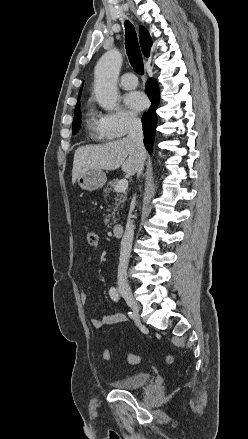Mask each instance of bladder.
Here are the masks:
<instances>
[{
    "mask_svg": "<svg viewBox=\"0 0 248 439\" xmlns=\"http://www.w3.org/2000/svg\"><path fill=\"white\" fill-rule=\"evenodd\" d=\"M150 375L146 372L133 373L113 381V385L120 390H134L149 383Z\"/></svg>",
    "mask_w": 248,
    "mask_h": 439,
    "instance_id": "1",
    "label": "bladder"
}]
</instances>
